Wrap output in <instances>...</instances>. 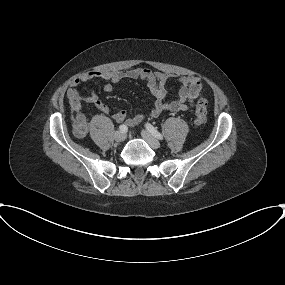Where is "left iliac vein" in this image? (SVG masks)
Instances as JSON below:
<instances>
[{
  "label": "left iliac vein",
  "instance_id": "left-iliac-vein-1",
  "mask_svg": "<svg viewBox=\"0 0 285 285\" xmlns=\"http://www.w3.org/2000/svg\"><path fill=\"white\" fill-rule=\"evenodd\" d=\"M141 134H142V137L145 139V141L153 149H158L160 147V142L153 135H151L148 131L142 130Z\"/></svg>",
  "mask_w": 285,
  "mask_h": 285
}]
</instances>
